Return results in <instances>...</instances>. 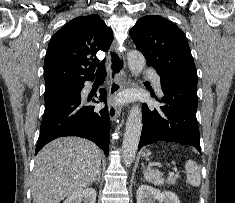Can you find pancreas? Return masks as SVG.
Returning <instances> with one entry per match:
<instances>
[{"label":"pancreas","mask_w":235,"mask_h":203,"mask_svg":"<svg viewBox=\"0 0 235 203\" xmlns=\"http://www.w3.org/2000/svg\"><path fill=\"white\" fill-rule=\"evenodd\" d=\"M175 182H176V178L169 177V178L167 179V183H168V184L173 185V184H175Z\"/></svg>","instance_id":"1"}]
</instances>
